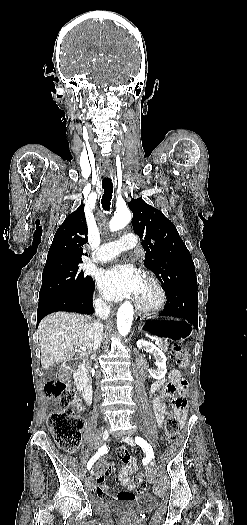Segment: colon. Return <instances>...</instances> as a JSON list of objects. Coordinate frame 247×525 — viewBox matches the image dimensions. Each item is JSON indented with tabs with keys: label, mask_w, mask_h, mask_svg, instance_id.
<instances>
[{
	"label": "colon",
	"mask_w": 247,
	"mask_h": 525,
	"mask_svg": "<svg viewBox=\"0 0 247 525\" xmlns=\"http://www.w3.org/2000/svg\"><path fill=\"white\" fill-rule=\"evenodd\" d=\"M171 357L173 362L181 368L188 361L187 352L177 344L172 347ZM185 383V381L182 382V384ZM45 394L67 409L53 411L49 416L48 426L55 441L67 452L76 451L80 446L81 432L84 428V419L78 413L80 399L76 391L61 379H51L45 384ZM171 401L173 407L165 420V433L168 440L174 439L178 431L175 411L182 410L187 404L186 397L182 394L173 396ZM136 483L138 494L143 495L147 484L141 474L136 476Z\"/></svg>",
	"instance_id": "obj_1"
}]
</instances>
